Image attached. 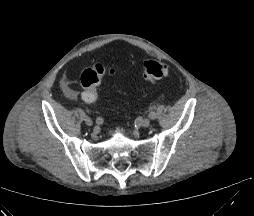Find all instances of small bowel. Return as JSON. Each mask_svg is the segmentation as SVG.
I'll return each mask as SVG.
<instances>
[{"mask_svg": "<svg viewBox=\"0 0 254 216\" xmlns=\"http://www.w3.org/2000/svg\"><path fill=\"white\" fill-rule=\"evenodd\" d=\"M61 88H62L64 94L66 95V97H68L69 99L75 100V99H78L79 96H80L79 92H78L74 87H72V85H71L68 81L63 80V81L61 82ZM81 96H82V98H83L85 101H87V100L84 98L83 93H82ZM87 102H91V101H87ZM92 102H93V101H92Z\"/></svg>", "mask_w": 254, "mask_h": 216, "instance_id": "c3829d8e", "label": "small bowel"}]
</instances>
